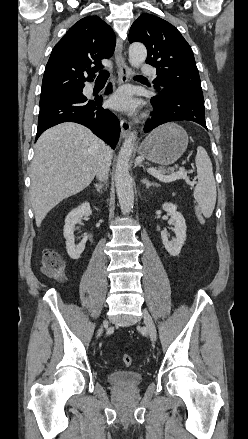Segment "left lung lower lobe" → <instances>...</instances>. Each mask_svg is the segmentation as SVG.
<instances>
[{
    "instance_id": "left-lung-lower-lobe-1",
    "label": "left lung lower lobe",
    "mask_w": 248,
    "mask_h": 439,
    "mask_svg": "<svg viewBox=\"0 0 248 439\" xmlns=\"http://www.w3.org/2000/svg\"><path fill=\"white\" fill-rule=\"evenodd\" d=\"M155 91L157 94L151 98L153 112L144 127V133L161 124L180 120L193 121L207 129L202 96L175 90Z\"/></svg>"
}]
</instances>
